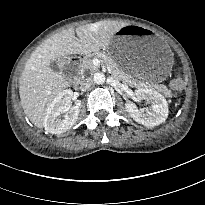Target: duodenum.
<instances>
[{
  "label": "duodenum",
  "instance_id": "obj_1",
  "mask_svg": "<svg viewBox=\"0 0 205 205\" xmlns=\"http://www.w3.org/2000/svg\"><path fill=\"white\" fill-rule=\"evenodd\" d=\"M73 65L76 67V71H77L76 79H77V81H80L81 76H80V72H79V63H78V61L74 60Z\"/></svg>",
  "mask_w": 205,
  "mask_h": 205
}]
</instances>
